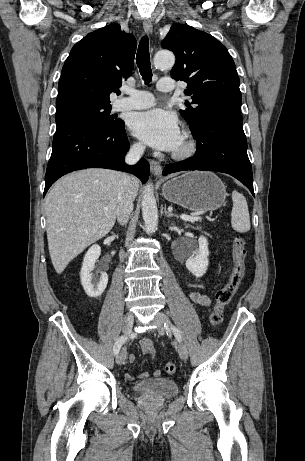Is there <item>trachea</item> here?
Segmentation results:
<instances>
[{"label":"trachea","instance_id":"3493384b","mask_svg":"<svg viewBox=\"0 0 305 461\" xmlns=\"http://www.w3.org/2000/svg\"><path fill=\"white\" fill-rule=\"evenodd\" d=\"M136 63L145 84H149L152 80V70L150 66L149 40L146 35L140 40Z\"/></svg>","mask_w":305,"mask_h":461}]
</instances>
